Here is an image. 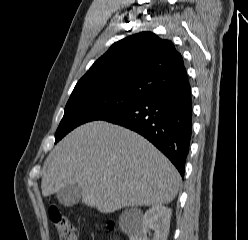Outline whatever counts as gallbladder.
<instances>
[{
  "mask_svg": "<svg viewBox=\"0 0 248 240\" xmlns=\"http://www.w3.org/2000/svg\"><path fill=\"white\" fill-rule=\"evenodd\" d=\"M82 190L78 185H69L57 192L58 201L65 207L77 204L81 198Z\"/></svg>",
  "mask_w": 248,
  "mask_h": 240,
  "instance_id": "1",
  "label": "gallbladder"
}]
</instances>
